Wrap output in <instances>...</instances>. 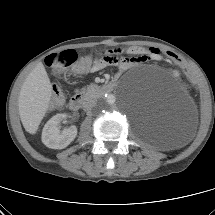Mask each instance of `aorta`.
Segmentation results:
<instances>
[{
    "label": "aorta",
    "instance_id": "1",
    "mask_svg": "<svg viewBox=\"0 0 215 215\" xmlns=\"http://www.w3.org/2000/svg\"><path fill=\"white\" fill-rule=\"evenodd\" d=\"M115 101H116L115 96L112 94H108L106 97H103L99 103L102 106V108L107 109V108H113Z\"/></svg>",
    "mask_w": 215,
    "mask_h": 215
}]
</instances>
